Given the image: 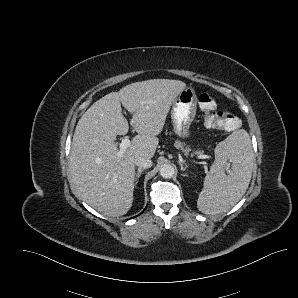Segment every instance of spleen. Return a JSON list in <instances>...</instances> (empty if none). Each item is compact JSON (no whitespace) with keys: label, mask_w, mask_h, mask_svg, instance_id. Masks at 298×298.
<instances>
[{"label":"spleen","mask_w":298,"mask_h":298,"mask_svg":"<svg viewBox=\"0 0 298 298\" xmlns=\"http://www.w3.org/2000/svg\"><path fill=\"white\" fill-rule=\"evenodd\" d=\"M215 161L205 176L197 208L207 215H216L234 206L246 192L253 169L254 152L250 135L244 129L232 132L214 150ZM227 161L231 162L228 174Z\"/></svg>","instance_id":"1"}]
</instances>
